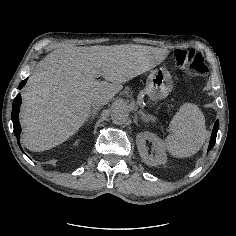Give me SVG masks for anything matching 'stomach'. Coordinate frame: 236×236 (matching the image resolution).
I'll use <instances>...</instances> for the list:
<instances>
[{"mask_svg": "<svg viewBox=\"0 0 236 236\" xmlns=\"http://www.w3.org/2000/svg\"><path fill=\"white\" fill-rule=\"evenodd\" d=\"M173 88L170 73L166 69H155L148 76L145 92L152 102L168 96Z\"/></svg>", "mask_w": 236, "mask_h": 236, "instance_id": "1", "label": "stomach"}]
</instances>
